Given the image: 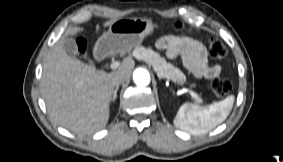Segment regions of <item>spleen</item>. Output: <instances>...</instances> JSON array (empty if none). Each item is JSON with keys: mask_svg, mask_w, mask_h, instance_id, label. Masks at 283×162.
<instances>
[{"mask_svg": "<svg viewBox=\"0 0 283 162\" xmlns=\"http://www.w3.org/2000/svg\"><path fill=\"white\" fill-rule=\"evenodd\" d=\"M234 101V95H230L222 101L205 107L184 103L180 106L173 123L190 134H205L226 120Z\"/></svg>", "mask_w": 283, "mask_h": 162, "instance_id": "obj_1", "label": "spleen"}]
</instances>
